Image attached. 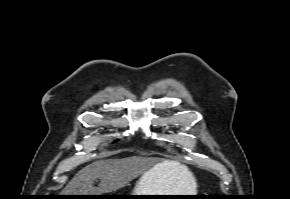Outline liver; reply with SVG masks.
<instances>
[{
  "label": "liver",
  "mask_w": 290,
  "mask_h": 199,
  "mask_svg": "<svg viewBox=\"0 0 290 199\" xmlns=\"http://www.w3.org/2000/svg\"><path fill=\"white\" fill-rule=\"evenodd\" d=\"M154 163L153 159L139 156L95 161L77 172L63 189L62 195H102L113 192L156 166L159 167V177L169 191L190 189L194 179L187 166L172 160ZM96 179H100L98 187L94 186Z\"/></svg>",
  "instance_id": "6515ba94"
}]
</instances>
